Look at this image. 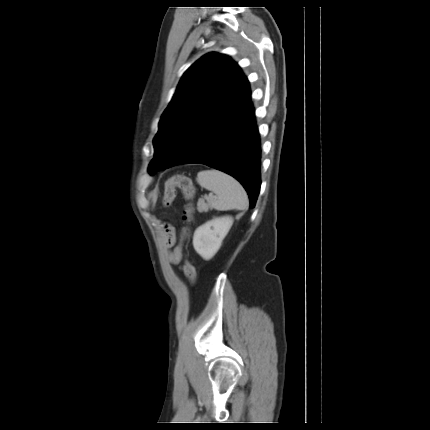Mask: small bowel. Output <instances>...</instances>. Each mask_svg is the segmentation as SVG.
<instances>
[{"label":"small bowel","mask_w":430,"mask_h":430,"mask_svg":"<svg viewBox=\"0 0 430 430\" xmlns=\"http://www.w3.org/2000/svg\"><path fill=\"white\" fill-rule=\"evenodd\" d=\"M163 240L168 250V259L172 264H178L181 258V246L177 245L175 229L171 225H166L163 232Z\"/></svg>","instance_id":"1"}]
</instances>
